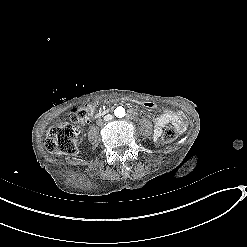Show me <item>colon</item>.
I'll return each instance as SVG.
<instances>
[{"instance_id":"colon-1","label":"colon","mask_w":247,"mask_h":247,"mask_svg":"<svg viewBox=\"0 0 247 247\" xmlns=\"http://www.w3.org/2000/svg\"><path fill=\"white\" fill-rule=\"evenodd\" d=\"M147 111L154 109L152 102L145 104ZM67 121L64 124H56L49 128L46 138L45 147L48 151L61 156H73L78 152V126L85 123L90 114V107L87 105L74 108L68 112ZM180 134L175 126H169L165 129L163 140L165 142L174 141Z\"/></svg>"}]
</instances>
